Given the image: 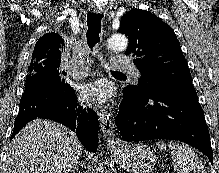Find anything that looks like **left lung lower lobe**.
<instances>
[{
  "label": "left lung lower lobe",
  "instance_id": "obj_1",
  "mask_svg": "<svg viewBox=\"0 0 219 173\" xmlns=\"http://www.w3.org/2000/svg\"><path fill=\"white\" fill-rule=\"evenodd\" d=\"M116 126L124 141L171 139L203 152L213 164V151L195 89L137 97L123 89Z\"/></svg>",
  "mask_w": 219,
  "mask_h": 173
}]
</instances>
